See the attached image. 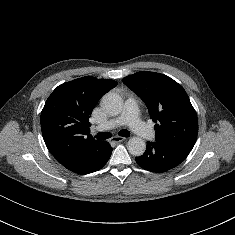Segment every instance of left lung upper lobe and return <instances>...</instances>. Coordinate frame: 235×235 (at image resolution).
<instances>
[{
  "label": "left lung upper lobe",
  "mask_w": 235,
  "mask_h": 235,
  "mask_svg": "<svg viewBox=\"0 0 235 235\" xmlns=\"http://www.w3.org/2000/svg\"><path fill=\"white\" fill-rule=\"evenodd\" d=\"M122 81L145 102L155 122L156 142L191 151L198 134V119L183 87L166 75L148 71Z\"/></svg>",
  "instance_id": "obj_1"
}]
</instances>
